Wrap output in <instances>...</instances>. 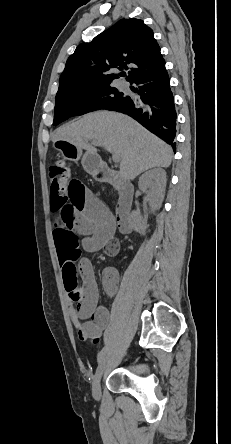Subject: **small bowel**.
Wrapping results in <instances>:
<instances>
[{"mask_svg":"<svg viewBox=\"0 0 231 444\" xmlns=\"http://www.w3.org/2000/svg\"><path fill=\"white\" fill-rule=\"evenodd\" d=\"M51 210L56 214L53 237L60 262L65 290L69 300V316L81 341L98 342L110 324L109 310L99 305V289L92 264L81 259L87 252L103 250L116 256L120 250L114 238V220L106 206L79 180L73 179L68 196L52 197ZM79 261L78 264L76 262ZM78 276L82 286H79ZM102 285L108 296L119 288V273L114 267L102 272Z\"/></svg>","mask_w":231,"mask_h":444,"instance_id":"obj_1","label":"small bowel"}]
</instances>
